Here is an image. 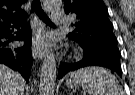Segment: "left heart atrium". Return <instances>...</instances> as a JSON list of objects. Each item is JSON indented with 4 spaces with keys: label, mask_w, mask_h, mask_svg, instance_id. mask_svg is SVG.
I'll use <instances>...</instances> for the list:
<instances>
[{
    "label": "left heart atrium",
    "mask_w": 135,
    "mask_h": 95,
    "mask_svg": "<svg viewBox=\"0 0 135 95\" xmlns=\"http://www.w3.org/2000/svg\"><path fill=\"white\" fill-rule=\"evenodd\" d=\"M53 44V38L51 36H45L42 40H40V48L45 50Z\"/></svg>",
    "instance_id": "39dd6f15"
}]
</instances>
